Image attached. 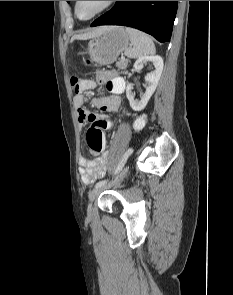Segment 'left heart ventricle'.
<instances>
[{
	"mask_svg": "<svg viewBox=\"0 0 233 295\" xmlns=\"http://www.w3.org/2000/svg\"><path fill=\"white\" fill-rule=\"evenodd\" d=\"M105 1H80L78 14L82 18H87L99 10Z\"/></svg>",
	"mask_w": 233,
	"mask_h": 295,
	"instance_id": "obj_1",
	"label": "left heart ventricle"
}]
</instances>
